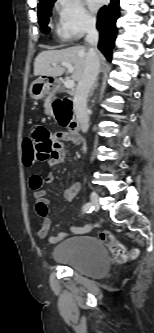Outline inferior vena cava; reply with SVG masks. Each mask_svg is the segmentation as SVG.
<instances>
[{"label": "inferior vena cava", "instance_id": "1", "mask_svg": "<svg viewBox=\"0 0 154 333\" xmlns=\"http://www.w3.org/2000/svg\"><path fill=\"white\" fill-rule=\"evenodd\" d=\"M85 27L87 33L85 41L89 43L91 47L87 52L83 76L78 82L73 100L74 112L83 133H86L89 128L87 97L93 85L95 84L100 67V62L96 51V46L99 40L96 23L95 21H88Z\"/></svg>", "mask_w": 154, "mask_h": 333}]
</instances>
